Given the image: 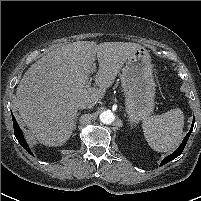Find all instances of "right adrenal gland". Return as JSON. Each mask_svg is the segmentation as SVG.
<instances>
[{
	"instance_id": "1",
	"label": "right adrenal gland",
	"mask_w": 201,
	"mask_h": 201,
	"mask_svg": "<svg viewBox=\"0 0 201 201\" xmlns=\"http://www.w3.org/2000/svg\"><path fill=\"white\" fill-rule=\"evenodd\" d=\"M81 114V112H78L76 114V118H75V122H74V129L76 128V123H77V120H78V116Z\"/></svg>"
}]
</instances>
